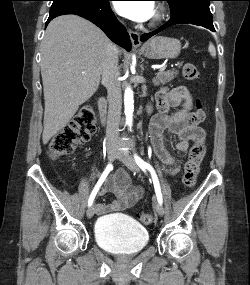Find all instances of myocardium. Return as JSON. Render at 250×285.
Here are the masks:
<instances>
[{
  "instance_id": "myocardium-1",
  "label": "myocardium",
  "mask_w": 250,
  "mask_h": 285,
  "mask_svg": "<svg viewBox=\"0 0 250 285\" xmlns=\"http://www.w3.org/2000/svg\"><path fill=\"white\" fill-rule=\"evenodd\" d=\"M165 15H166L165 8L162 5H158L155 9L150 25L151 26L159 25L164 20Z\"/></svg>"
}]
</instances>
